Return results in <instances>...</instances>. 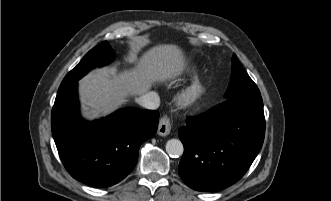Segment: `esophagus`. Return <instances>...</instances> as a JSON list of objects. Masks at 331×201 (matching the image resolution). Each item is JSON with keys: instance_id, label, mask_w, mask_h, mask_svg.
I'll return each mask as SVG.
<instances>
[{"instance_id": "1", "label": "esophagus", "mask_w": 331, "mask_h": 201, "mask_svg": "<svg viewBox=\"0 0 331 201\" xmlns=\"http://www.w3.org/2000/svg\"><path fill=\"white\" fill-rule=\"evenodd\" d=\"M170 131H171L170 119L167 116H163L160 119L157 133L160 136H166V135L170 134Z\"/></svg>"}]
</instances>
